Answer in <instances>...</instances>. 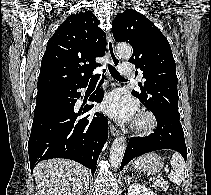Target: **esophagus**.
Segmentation results:
<instances>
[{
	"label": "esophagus",
	"instance_id": "34e87169",
	"mask_svg": "<svg viewBox=\"0 0 211 195\" xmlns=\"http://www.w3.org/2000/svg\"><path fill=\"white\" fill-rule=\"evenodd\" d=\"M107 50H108V54H109L112 65L114 67H118L120 64V60L116 55V52L114 49L113 37L110 33L108 34V39H107ZM110 131H111L112 136H116L120 133V131L113 124H110Z\"/></svg>",
	"mask_w": 211,
	"mask_h": 195
}]
</instances>
